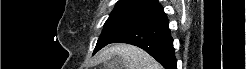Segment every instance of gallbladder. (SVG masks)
<instances>
[{"label": "gallbladder", "instance_id": "gallbladder-1", "mask_svg": "<svg viewBox=\"0 0 246 69\" xmlns=\"http://www.w3.org/2000/svg\"><path fill=\"white\" fill-rule=\"evenodd\" d=\"M120 61V57L117 55H114L106 64H105V68L106 69H117L120 67L119 64Z\"/></svg>", "mask_w": 246, "mask_h": 69}]
</instances>
